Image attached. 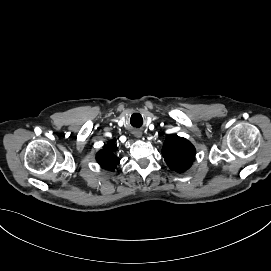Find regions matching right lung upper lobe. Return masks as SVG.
I'll return each instance as SVG.
<instances>
[{"label": "right lung upper lobe", "instance_id": "1", "mask_svg": "<svg viewBox=\"0 0 271 271\" xmlns=\"http://www.w3.org/2000/svg\"><path fill=\"white\" fill-rule=\"evenodd\" d=\"M117 146L114 141H109L102 150L96 154V160L100 166L106 170H114L119 164L120 159L115 156L114 152Z\"/></svg>", "mask_w": 271, "mask_h": 271}]
</instances>
